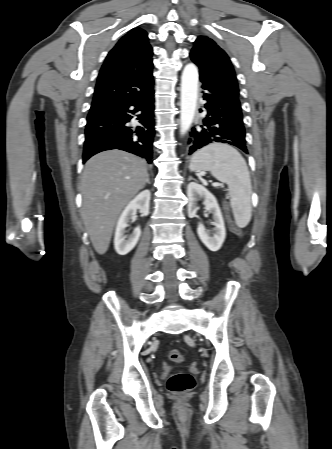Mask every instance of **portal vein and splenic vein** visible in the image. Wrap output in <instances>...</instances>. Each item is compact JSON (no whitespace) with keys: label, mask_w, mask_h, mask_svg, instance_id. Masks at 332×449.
Masks as SVG:
<instances>
[{"label":"portal vein and splenic vein","mask_w":332,"mask_h":449,"mask_svg":"<svg viewBox=\"0 0 332 449\" xmlns=\"http://www.w3.org/2000/svg\"><path fill=\"white\" fill-rule=\"evenodd\" d=\"M213 185L223 187V184H220V183H213Z\"/></svg>","instance_id":"1"}]
</instances>
